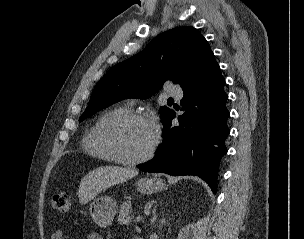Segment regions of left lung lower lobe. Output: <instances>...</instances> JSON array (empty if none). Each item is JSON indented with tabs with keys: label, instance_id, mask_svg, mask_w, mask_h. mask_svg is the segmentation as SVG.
<instances>
[{
	"label": "left lung lower lobe",
	"instance_id": "0a47b994",
	"mask_svg": "<svg viewBox=\"0 0 304 239\" xmlns=\"http://www.w3.org/2000/svg\"><path fill=\"white\" fill-rule=\"evenodd\" d=\"M225 80L212 54L194 82L183 89L179 125L172 126V110L163 121V142L154 158L139 169L173 176L196 175L217 191V173L221 158L227 153L225 139L228 99Z\"/></svg>",
	"mask_w": 304,
	"mask_h": 239
}]
</instances>
